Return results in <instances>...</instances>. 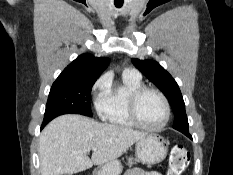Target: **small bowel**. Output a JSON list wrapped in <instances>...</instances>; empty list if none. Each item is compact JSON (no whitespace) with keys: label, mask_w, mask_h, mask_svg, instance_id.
<instances>
[{"label":"small bowel","mask_w":233,"mask_h":175,"mask_svg":"<svg viewBox=\"0 0 233 175\" xmlns=\"http://www.w3.org/2000/svg\"><path fill=\"white\" fill-rule=\"evenodd\" d=\"M124 175H162L158 171H145L139 168H133L128 170Z\"/></svg>","instance_id":"small-bowel-1"}]
</instances>
